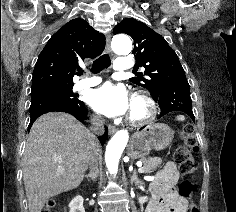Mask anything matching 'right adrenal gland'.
I'll return each mask as SVG.
<instances>
[{"label": "right adrenal gland", "instance_id": "2a0ac1e0", "mask_svg": "<svg viewBox=\"0 0 236 212\" xmlns=\"http://www.w3.org/2000/svg\"><path fill=\"white\" fill-rule=\"evenodd\" d=\"M85 178L87 179L88 182H89V181H95V179H96V173H94V174L90 173V174H88V175H85Z\"/></svg>", "mask_w": 236, "mask_h": 212}]
</instances>
